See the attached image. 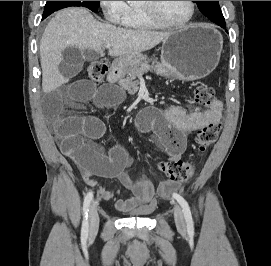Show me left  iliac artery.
<instances>
[{
  "label": "left iliac artery",
  "instance_id": "left-iliac-artery-1",
  "mask_svg": "<svg viewBox=\"0 0 271 266\" xmlns=\"http://www.w3.org/2000/svg\"><path fill=\"white\" fill-rule=\"evenodd\" d=\"M173 197L177 200V202L182 207L184 217H185V220H186L188 233L193 234L194 233V224H193V219H192V214H191V211H190V207H189L187 201L177 193H173Z\"/></svg>",
  "mask_w": 271,
  "mask_h": 266
}]
</instances>
